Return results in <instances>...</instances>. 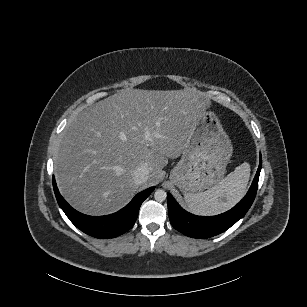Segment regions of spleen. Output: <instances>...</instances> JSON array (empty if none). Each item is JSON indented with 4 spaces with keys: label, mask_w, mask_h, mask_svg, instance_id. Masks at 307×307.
<instances>
[{
    "label": "spleen",
    "mask_w": 307,
    "mask_h": 307,
    "mask_svg": "<svg viewBox=\"0 0 307 307\" xmlns=\"http://www.w3.org/2000/svg\"><path fill=\"white\" fill-rule=\"evenodd\" d=\"M250 171V164L244 162L212 188L184 194L189 210L197 215L210 216L231 209L244 197Z\"/></svg>",
    "instance_id": "obj_1"
}]
</instances>
